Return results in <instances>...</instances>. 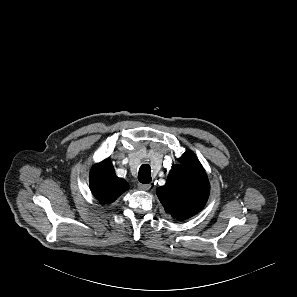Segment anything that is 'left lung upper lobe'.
Masks as SVG:
<instances>
[{"instance_id":"left-lung-upper-lobe-1","label":"left lung upper lobe","mask_w":297,"mask_h":297,"mask_svg":"<svg viewBox=\"0 0 297 297\" xmlns=\"http://www.w3.org/2000/svg\"><path fill=\"white\" fill-rule=\"evenodd\" d=\"M179 164L170 171L166 184L157 189V196L167 213L184 220L200 212L205 206L210 184L196 155L187 150Z\"/></svg>"}]
</instances>
